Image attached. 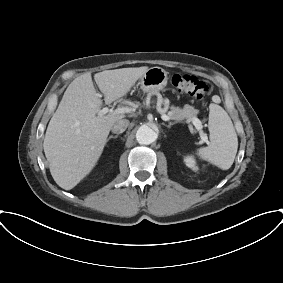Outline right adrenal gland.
I'll return each instance as SVG.
<instances>
[{
    "instance_id": "right-adrenal-gland-1",
    "label": "right adrenal gland",
    "mask_w": 283,
    "mask_h": 283,
    "mask_svg": "<svg viewBox=\"0 0 283 283\" xmlns=\"http://www.w3.org/2000/svg\"><path fill=\"white\" fill-rule=\"evenodd\" d=\"M112 138L116 139V138H118V135H115V136L111 135V136H109L108 139L106 140V142H108Z\"/></svg>"
}]
</instances>
